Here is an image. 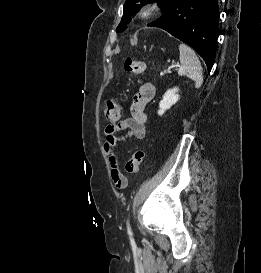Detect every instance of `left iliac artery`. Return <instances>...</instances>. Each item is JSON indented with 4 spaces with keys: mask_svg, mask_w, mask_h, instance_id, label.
<instances>
[{
    "mask_svg": "<svg viewBox=\"0 0 261 273\" xmlns=\"http://www.w3.org/2000/svg\"><path fill=\"white\" fill-rule=\"evenodd\" d=\"M127 229H128V233L131 234V228H130V224H129V220L127 221Z\"/></svg>",
    "mask_w": 261,
    "mask_h": 273,
    "instance_id": "left-iliac-artery-1",
    "label": "left iliac artery"
}]
</instances>
